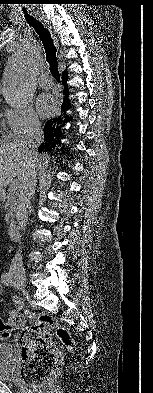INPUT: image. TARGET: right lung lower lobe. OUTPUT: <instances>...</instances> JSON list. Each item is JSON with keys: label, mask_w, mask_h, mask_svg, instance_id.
Wrapping results in <instances>:
<instances>
[{"label": "right lung lower lobe", "mask_w": 153, "mask_h": 393, "mask_svg": "<svg viewBox=\"0 0 153 393\" xmlns=\"http://www.w3.org/2000/svg\"><path fill=\"white\" fill-rule=\"evenodd\" d=\"M67 71L63 72L62 82L64 84V99L63 103L61 104L62 115L59 117L53 118L49 120L44 126V142L38 147V151H47L51 150L57 143H60V138H62V130L63 127L67 122L72 120L71 116H68L66 111L70 109L71 103L68 99V89H67Z\"/></svg>", "instance_id": "1"}]
</instances>
